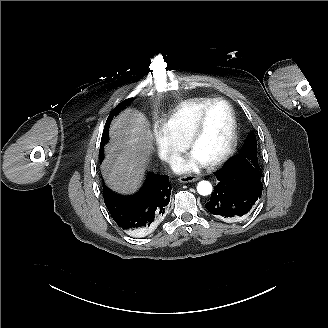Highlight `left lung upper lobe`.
<instances>
[{
	"label": "left lung upper lobe",
	"instance_id": "1",
	"mask_svg": "<svg viewBox=\"0 0 328 328\" xmlns=\"http://www.w3.org/2000/svg\"><path fill=\"white\" fill-rule=\"evenodd\" d=\"M257 141L255 134L251 132L240 153L234 156L227 165L245 167L247 170L255 171L256 176L261 177V169L257 159Z\"/></svg>",
	"mask_w": 328,
	"mask_h": 328
}]
</instances>
